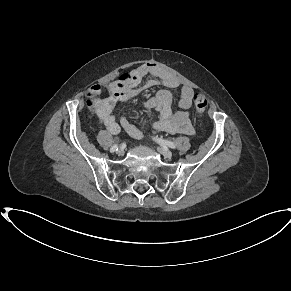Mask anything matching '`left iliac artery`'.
Masks as SVG:
<instances>
[{"mask_svg":"<svg viewBox=\"0 0 291 291\" xmlns=\"http://www.w3.org/2000/svg\"><path fill=\"white\" fill-rule=\"evenodd\" d=\"M154 139H155V141H157L162 146H165V147L167 146L169 148L176 149V145L171 141H168V140H165V139H162V138H158V137H156Z\"/></svg>","mask_w":291,"mask_h":291,"instance_id":"left-iliac-artery-1","label":"left iliac artery"}]
</instances>
